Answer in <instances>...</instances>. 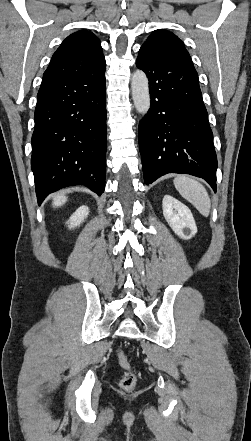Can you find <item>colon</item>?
Instances as JSON below:
<instances>
[{
	"mask_svg": "<svg viewBox=\"0 0 251 441\" xmlns=\"http://www.w3.org/2000/svg\"><path fill=\"white\" fill-rule=\"evenodd\" d=\"M117 362L124 370V373L119 381L120 387L126 391L134 389L137 383V376L132 369L129 359L121 350L117 351Z\"/></svg>",
	"mask_w": 251,
	"mask_h": 441,
	"instance_id": "5ec220e1",
	"label": "colon"
}]
</instances>
